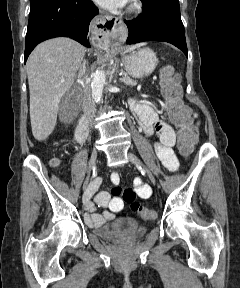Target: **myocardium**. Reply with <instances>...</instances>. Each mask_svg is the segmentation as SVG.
Wrapping results in <instances>:
<instances>
[{"label": "myocardium", "instance_id": "obj_1", "mask_svg": "<svg viewBox=\"0 0 240 288\" xmlns=\"http://www.w3.org/2000/svg\"><path fill=\"white\" fill-rule=\"evenodd\" d=\"M132 12L135 16H138L142 12V6L139 3H135L132 6Z\"/></svg>", "mask_w": 240, "mask_h": 288}]
</instances>
